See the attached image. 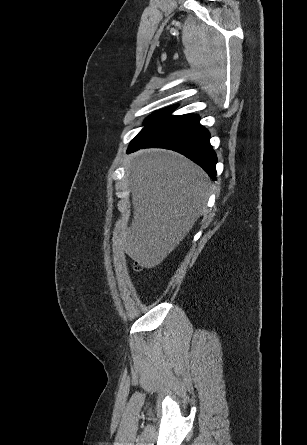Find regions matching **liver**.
<instances>
[{
  "mask_svg": "<svg viewBox=\"0 0 307 445\" xmlns=\"http://www.w3.org/2000/svg\"><path fill=\"white\" fill-rule=\"evenodd\" d=\"M133 218L118 223L116 243L138 265H160L193 229L210 194L206 172L178 152L151 150L128 164Z\"/></svg>",
  "mask_w": 307,
  "mask_h": 445,
  "instance_id": "liver-1",
  "label": "liver"
}]
</instances>
